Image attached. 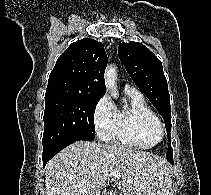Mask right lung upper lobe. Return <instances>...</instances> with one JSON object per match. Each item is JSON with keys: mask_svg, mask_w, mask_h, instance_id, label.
I'll list each match as a JSON object with an SVG mask.
<instances>
[{"mask_svg": "<svg viewBox=\"0 0 211 195\" xmlns=\"http://www.w3.org/2000/svg\"><path fill=\"white\" fill-rule=\"evenodd\" d=\"M107 61L102 43L90 38L72 43L57 59L46 94L64 93L100 99L106 92L104 71Z\"/></svg>", "mask_w": 211, "mask_h": 195, "instance_id": "1", "label": "right lung upper lobe"}]
</instances>
